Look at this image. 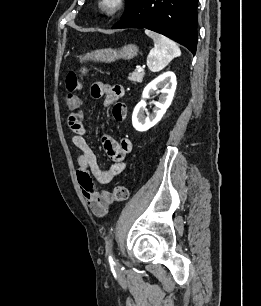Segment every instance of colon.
I'll return each instance as SVG.
<instances>
[{
	"label": "colon",
	"instance_id": "obj_1",
	"mask_svg": "<svg viewBox=\"0 0 261 306\" xmlns=\"http://www.w3.org/2000/svg\"><path fill=\"white\" fill-rule=\"evenodd\" d=\"M87 68L83 67L77 72H69L66 76L67 93L63 97L64 104L67 109L75 110L79 106L78 92L82 87V79L87 74ZM129 191L125 186H117L112 192V197L115 202H124L128 199Z\"/></svg>",
	"mask_w": 261,
	"mask_h": 306
}]
</instances>
